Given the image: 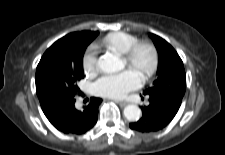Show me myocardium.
Segmentation results:
<instances>
[{
    "label": "myocardium",
    "mask_w": 225,
    "mask_h": 155,
    "mask_svg": "<svg viewBox=\"0 0 225 155\" xmlns=\"http://www.w3.org/2000/svg\"><path fill=\"white\" fill-rule=\"evenodd\" d=\"M142 52H146L148 55L147 64L141 73L142 79L147 80L155 73L159 61L158 50L152 42L148 40H140L135 42L123 54V58L130 67L135 68L138 66L139 57Z\"/></svg>",
    "instance_id": "f54148a6"
}]
</instances>
